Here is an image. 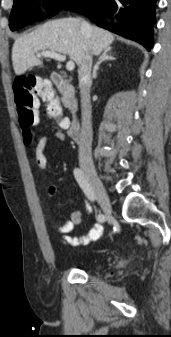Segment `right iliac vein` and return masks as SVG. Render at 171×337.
<instances>
[{
  "instance_id": "63e3f726",
  "label": "right iliac vein",
  "mask_w": 171,
  "mask_h": 337,
  "mask_svg": "<svg viewBox=\"0 0 171 337\" xmlns=\"http://www.w3.org/2000/svg\"><path fill=\"white\" fill-rule=\"evenodd\" d=\"M83 171L85 173V175L87 176V178L89 179L95 197L98 201V203L100 204L101 208L103 209L104 213L106 214L109 222L112 221V207L110 204V200L109 197L107 195V192L105 190V188L103 187L96 170L94 169L93 166L88 165V164H83L82 165Z\"/></svg>"
}]
</instances>
